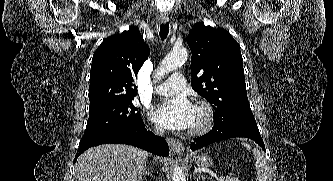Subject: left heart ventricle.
I'll list each match as a JSON object with an SVG mask.
<instances>
[{"label":"left heart ventricle","instance_id":"obj_1","mask_svg":"<svg viewBox=\"0 0 333 181\" xmlns=\"http://www.w3.org/2000/svg\"><path fill=\"white\" fill-rule=\"evenodd\" d=\"M199 118H200V113L198 110L194 108V122L191 127L195 126L198 123Z\"/></svg>","mask_w":333,"mask_h":181}]
</instances>
